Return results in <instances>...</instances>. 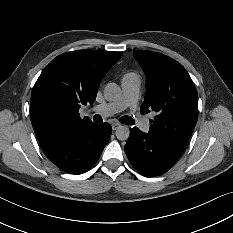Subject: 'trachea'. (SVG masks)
I'll return each mask as SVG.
<instances>
[{
    "label": "trachea",
    "mask_w": 233,
    "mask_h": 233,
    "mask_svg": "<svg viewBox=\"0 0 233 233\" xmlns=\"http://www.w3.org/2000/svg\"><path fill=\"white\" fill-rule=\"evenodd\" d=\"M93 120L96 123H101L103 121L101 115H98V114L94 115ZM119 121L121 123L127 124V125H132L134 123V120L131 117L127 116V115L120 117Z\"/></svg>",
    "instance_id": "obj_1"
}]
</instances>
